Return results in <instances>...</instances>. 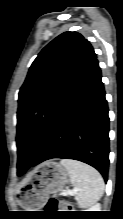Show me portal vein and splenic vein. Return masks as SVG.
Returning <instances> with one entry per match:
<instances>
[{
  "mask_svg": "<svg viewBox=\"0 0 123 219\" xmlns=\"http://www.w3.org/2000/svg\"><path fill=\"white\" fill-rule=\"evenodd\" d=\"M76 193V190H67L64 192V194H70V195H74Z\"/></svg>",
  "mask_w": 123,
  "mask_h": 219,
  "instance_id": "18ae733b",
  "label": "portal vein and splenic vein"
}]
</instances>
